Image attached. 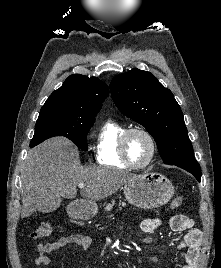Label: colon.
<instances>
[{"label":"colon","instance_id":"colon-1","mask_svg":"<svg viewBox=\"0 0 221 268\" xmlns=\"http://www.w3.org/2000/svg\"><path fill=\"white\" fill-rule=\"evenodd\" d=\"M183 204L181 196L175 197L171 202L172 208H179ZM52 233V226L49 223L40 224L31 234L33 239H40L49 236Z\"/></svg>","mask_w":221,"mask_h":268}]
</instances>
